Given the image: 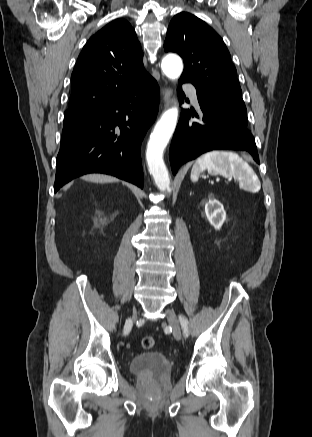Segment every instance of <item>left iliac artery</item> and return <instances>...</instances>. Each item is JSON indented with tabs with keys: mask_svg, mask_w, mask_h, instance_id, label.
Instances as JSON below:
<instances>
[{
	"mask_svg": "<svg viewBox=\"0 0 312 437\" xmlns=\"http://www.w3.org/2000/svg\"><path fill=\"white\" fill-rule=\"evenodd\" d=\"M179 319H180V323H181V326L183 328V331H184L185 335H188V333H189V331H188V325H189L188 320L184 319L181 316L179 317Z\"/></svg>",
	"mask_w": 312,
	"mask_h": 437,
	"instance_id": "left-iliac-artery-1",
	"label": "left iliac artery"
}]
</instances>
